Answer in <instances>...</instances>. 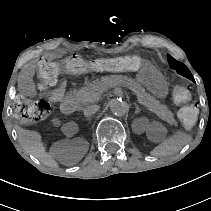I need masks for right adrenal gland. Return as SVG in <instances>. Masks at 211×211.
I'll list each match as a JSON object with an SVG mask.
<instances>
[{
  "mask_svg": "<svg viewBox=\"0 0 211 211\" xmlns=\"http://www.w3.org/2000/svg\"><path fill=\"white\" fill-rule=\"evenodd\" d=\"M87 120L90 122V119L89 118H87Z\"/></svg>",
  "mask_w": 211,
  "mask_h": 211,
  "instance_id": "1",
  "label": "right adrenal gland"
}]
</instances>
